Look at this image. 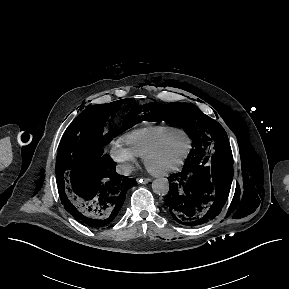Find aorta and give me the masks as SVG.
<instances>
[{
  "label": "aorta",
  "mask_w": 289,
  "mask_h": 289,
  "mask_svg": "<svg viewBox=\"0 0 289 289\" xmlns=\"http://www.w3.org/2000/svg\"><path fill=\"white\" fill-rule=\"evenodd\" d=\"M154 193L165 196L169 192V182L166 178L156 179L152 183Z\"/></svg>",
  "instance_id": "aorta-1"
}]
</instances>
